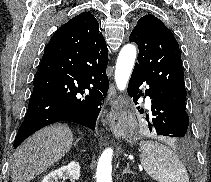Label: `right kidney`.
<instances>
[{"instance_id": "right-kidney-1", "label": "right kidney", "mask_w": 211, "mask_h": 182, "mask_svg": "<svg viewBox=\"0 0 211 182\" xmlns=\"http://www.w3.org/2000/svg\"><path fill=\"white\" fill-rule=\"evenodd\" d=\"M80 164L72 161L67 166H63L46 175L41 182H59L61 179L72 178L78 180L80 178Z\"/></svg>"}]
</instances>
